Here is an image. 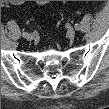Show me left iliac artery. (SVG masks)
Segmentation results:
<instances>
[{"mask_svg": "<svg viewBox=\"0 0 109 109\" xmlns=\"http://www.w3.org/2000/svg\"><path fill=\"white\" fill-rule=\"evenodd\" d=\"M75 29H76V30H79V29H80L79 24H75Z\"/></svg>", "mask_w": 109, "mask_h": 109, "instance_id": "obj_1", "label": "left iliac artery"}]
</instances>
